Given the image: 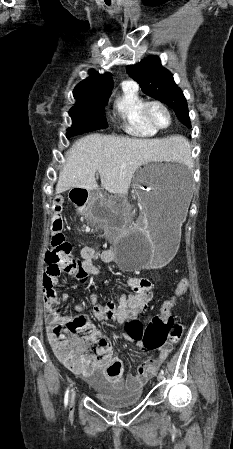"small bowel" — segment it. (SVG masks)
<instances>
[{"mask_svg": "<svg viewBox=\"0 0 233 449\" xmlns=\"http://www.w3.org/2000/svg\"><path fill=\"white\" fill-rule=\"evenodd\" d=\"M114 260V254L111 250L97 251L89 246H84L80 249V259L75 267H62L59 264L46 265L42 277L43 296L47 303V307H52L57 303L64 302L67 299L66 294L57 293L58 279L63 272L73 276L80 282L86 281L89 277L97 276L100 270L98 263H110ZM127 285L133 291V294H123L118 302H107L105 305L95 304L93 307L94 316L98 320L110 319L118 323L124 324L128 329L130 321L137 322V316L144 310L146 305L153 297V284L150 278H146L144 274H137L135 278H129ZM130 341V338H124ZM75 339L69 340L68 344ZM66 344V343H61ZM141 346V343H137ZM54 350L55 347L52 345ZM74 354L81 360L83 364L81 368L77 369L83 375H106L109 382L114 384H121L123 382V366L119 359L114 358L111 348L109 353L104 357L107 363L100 362L96 356L83 351H74ZM169 349H160L158 358H149L144 365L139 367L135 374L128 375L125 378V384L129 387H137L145 384L151 377L155 375L158 368L161 366L167 357Z\"/></svg>", "mask_w": 233, "mask_h": 449, "instance_id": "1", "label": "small bowel"}]
</instances>
